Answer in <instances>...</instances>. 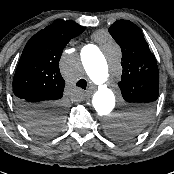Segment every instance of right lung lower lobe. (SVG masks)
Listing matches in <instances>:
<instances>
[{
	"instance_id": "98d812e1",
	"label": "right lung lower lobe",
	"mask_w": 174,
	"mask_h": 174,
	"mask_svg": "<svg viewBox=\"0 0 174 174\" xmlns=\"http://www.w3.org/2000/svg\"><path fill=\"white\" fill-rule=\"evenodd\" d=\"M17 111L19 112L21 118L25 121L26 116L39 113L42 111H47L50 108L61 109L60 102H46V101H31V100H16Z\"/></svg>"
}]
</instances>
